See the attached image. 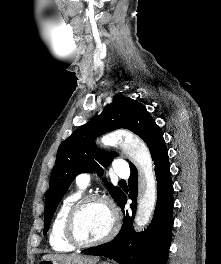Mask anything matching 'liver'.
<instances>
[{"instance_id": "1", "label": "liver", "mask_w": 221, "mask_h": 264, "mask_svg": "<svg viewBox=\"0 0 221 264\" xmlns=\"http://www.w3.org/2000/svg\"><path fill=\"white\" fill-rule=\"evenodd\" d=\"M42 259L53 260L60 264H96V262L99 260L98 257H87L76 254L44 255Z\"/></svg>"}]
</instances>
